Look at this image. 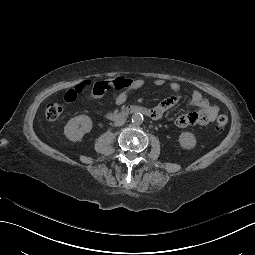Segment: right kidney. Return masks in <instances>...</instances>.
<instances>
[{"label":"right kidney","instance_id":"obj_1","mask_svg":"<svg viewBox=\"0 0 255 255\" xmlns=\"http://www.w3.org/2000/svg\"><path fill=\"white\" fill-rule=\"evenodd\" d=\"M81 125V127H79ZM92 129V121L86 115L76 116L68 121L64 127V134L66 137L75 142L82 139L85 133L90 132Z\"/></svg>","mask_w":255,"mask_h":255}]
</instances>
